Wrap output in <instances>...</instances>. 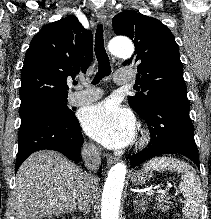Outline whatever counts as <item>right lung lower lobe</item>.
<instances>
[{"mask_svg":"<svg viewBox=\"0 0 211 219\" xmlns=\"http://www.w3.org/2000/svg\"><path fill=\"white\" fill-rule=\"evenodd\" d=\"M15 171L25 159L38 150H55L73 161H79L83 136L75 115L70 119L43 116L21 124Z\"/></svg>","mask_w":211,"mask_h":219,"instance_id":"1","label":"right lung lower lobe"}]
</instances>
